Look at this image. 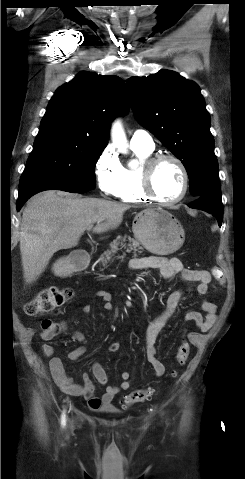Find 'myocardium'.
Here are the masks:
<instances>
[{"mask_svg": "<svg viewBox=\"0 0 245 479\" xmlns=\"http://www.w3.org/2000/svg\"><path fill=\"white\" fill-rule=\"evenodd\" d=\"M164 161L174 162L180 169L183 177V186L180 195L170 201L163 200L154 189V174L158 166ZM141 189L143 193L152 201L162 205L171 206L181 202L189 190V173L184 162L173 154H156L150 156L141 168Z\"/></svg>", "mask_w": 245, "mask_h": 479, "instance_id": "obj_1", "label": "myocardium"}]
</instances>
